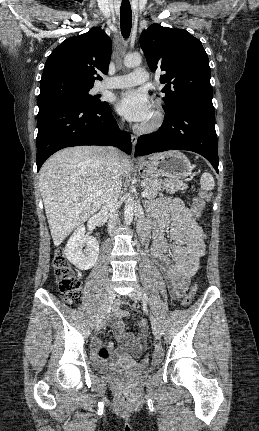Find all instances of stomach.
Segmentation results:
<instances>
[{"instance_id": "1", "label": "stomach", "mask_w": 259, "mask_h": 431, "mask_svg": "<svg viewBox=\"0 0 259 431\" xmlns=\"http://www.w3.org/2000/svg\"><path fill=\"white\" fill-rule=\"evenodd\" d=\"M138 169L145 179L166 177L179 180L192 172L190 160L180 151H168L155 159L143 161L138 165Z\"/></svg>"}]
</instances>
